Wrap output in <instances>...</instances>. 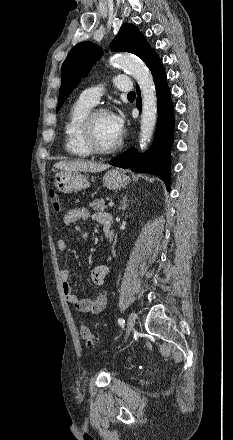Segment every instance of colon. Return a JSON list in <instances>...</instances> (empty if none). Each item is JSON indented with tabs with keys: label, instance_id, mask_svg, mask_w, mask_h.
I'll list each match as a JSON object with an SVG mask.
<instances>
[{
	"label": "colon",
	"instance_id": "obj_1",
	"mask_svg": "<svg viewBox=\"0 0 233 440\" xmlns=\"http://www.w3.org/2000/svg\"><path fill=\"white\" fill-rule=\"evenodd\" d=\"M50 199L53 210L58 213L61 211V201L53 190H50ZM80 334L85 340L88 347H95L98 345L97 339L92 335L89 327L82 323L80 326Z\"/></svg>",
	"mask_w": 233,
	"mask_h": 440
}]
</instances>
